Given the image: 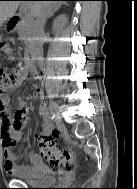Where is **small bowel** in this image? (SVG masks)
I'll return each mask as SVG.
<instances>
[{"instance_id": "obj_1", "label": "small bowel", "mask_w": 137, "mask_h": 189, "mask_svg": "<svg viewBox=\"0 0 137 189\" xmlns=\"http://www.w3.org/2000/svg\"><path fill=\"white\" fill-rule=\"evenodd\" d=\"M30 72L27 68H21L19 78L24 80ZM38 78L37 75H35ZM17 111L11 115L6 99L0 98V139L4 147V169L9 175H27L33 170V166L17 163V155L13 150L15 142L21 139V129L15 130L12 124L17 120H22V127L25 124V116L23 111L26 108V103L23 99H18ZM30 160L34 164L40 162V157L36 153L29 154Z\"/></svg>"}]
</instances>
